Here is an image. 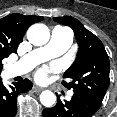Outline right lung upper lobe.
<instances>
[{
    "label": "right lung upper lobe",
    "mask_w": 117,
    "mask_h": 117,
    "mask_svg": "<svg viewBox=\"0 0 117 117\" xmlns=\"http://www.w3.org/2000/svg\"><path fill=\"white\" fill-rule=\"evenodd\" d=\"M42 16H24L14 13L0 19V52L8 56L17 52L26 30L30 25L40 22Z\"/></svg>",
    "instance_id": "1"
}]
</instances>
